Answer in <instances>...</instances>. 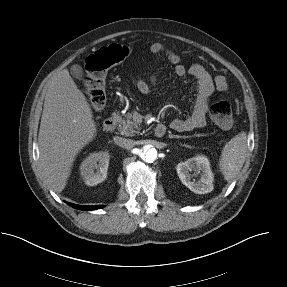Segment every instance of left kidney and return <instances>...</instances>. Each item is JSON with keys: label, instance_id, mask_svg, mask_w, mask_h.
<instances>
[{"label": "left kidney", "instance_id": "obj_1", "mask_svg": "<svg viewBox=\"0 0 287 287\" xmlns=\"http://www.w3.org/2000/svg\"><path fill=\"white\" fill-rule=\"evenodd\" d=\"M181 182L196 194H206L213 190V173L210 162L204 155H196L185 162H181L176 167ZM194 171V175L190 172ZM200 174V179L192 180L193 176Z\"/></svg>", "mask_w": 287, "mask_h": 287}]
</instances>
